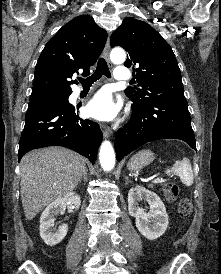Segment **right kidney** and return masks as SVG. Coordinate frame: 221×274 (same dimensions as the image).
<instances>
[{
  "instance_id": "1",
  "label": "right kidney",
  "mask_w": 221,
  "mask_h": 274,
  "mask_svg": "<svg viewBox=\"0 0 221 274\" xmlns=\"http://www.w3.org/2000/svg\"><path fill=\"white\" fill-rule=\"evenodd\" d=\"M81 205L80 196L70 192L50 203L40 217V236L49 246L60 243L68 232V225H60L58 229H53L55 216L63 214L67 206L77 210Z\"/></svg>"
}]
</instances>
